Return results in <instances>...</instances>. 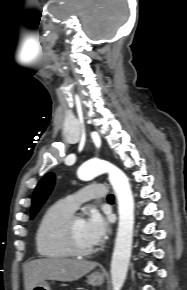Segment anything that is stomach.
<instances>
[{"label":"stomach","instance_id":"0dacf381","mask_svg":"<svg viewBox=\"0 0 187 290\" xmlns=\"http://www.w3.org/2000/svg\"><path fill=\"white\" fill-rule=\"evenodd\" d=\"M88 284L92 286H99L104 282V276L99 272H93L87 276ZM32 290H51L49 284L44 281L37 284Z\"/></svg>","mask_w":187,"mask_h":290}]
</instances>
